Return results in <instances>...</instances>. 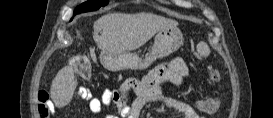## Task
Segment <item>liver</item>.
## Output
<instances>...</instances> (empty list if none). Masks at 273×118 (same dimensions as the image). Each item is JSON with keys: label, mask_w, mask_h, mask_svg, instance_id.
<instances>
[{"label": "liver", "mask_w": 273, "mask_h": 118, "mask_svg": "<svg viewBox=\"0 0 273 118\" xmlns=\"http://www.w3.org/2000/svg\"><path fill=\"white\" fill-rule=\"evenodd\" d=\"M178 22L152 13H109L94 23L93 38L102 52L121 53L140 48L154 34L166 27H176ZM101 32L99 36L98 33ZM77 81L71 66L62 68L53 79L50 94L56 107L69 104Z\"/></svg>", "instance_id": "obj_1"}]
</instances>
